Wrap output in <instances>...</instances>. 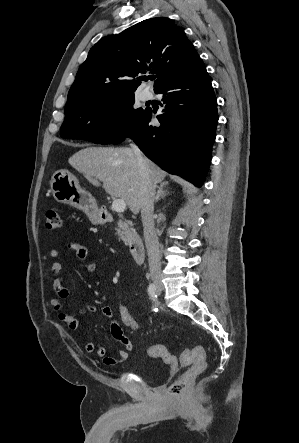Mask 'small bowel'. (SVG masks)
Returning <instances> with one entry per match:
<instances>
[{"mask_svg": "<svg viewBox=\"0 0 299 443\" xmlns=\"http://www.w3.org/2000/svg\"><path fill=\"white\" fill-rule=\"evenodd\" d=\"M70 250L74 251L77 258L84 263L88 272H95L97 265L89 257L88 249L79 244L78 242H70L68 244ZM49 256L54 260L51 266L52 274L54 275L53 289L56 293V297L50 299V305L58 313V318L64 322L70 330H77L80 326L78 317L75 314L67 313L63 310L62 300L70 297V292L63 285L62 277V265L59 262L61 257V248H52L49 252ZM101 312L110 322V332L112 337L121 343L125 349L118 350L113 356L106 354V349L103 346H96L92 341L85 340L83 343V349L87 353H91L101 358L106 365H117L127 360L129 352L133 350V344L131 340L124 334L123 329L120 327L115 319L112 309L108 306H94L86 305L82 312Z\"/></svg>", "mask_w": 299, "mask_h": 443, "instance_id": "1", "label": "small bowel"}]
</instances>
